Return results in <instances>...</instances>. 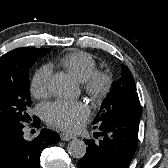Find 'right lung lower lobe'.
Masks as SVG:
<instances>
[{
    "label": "right lung lower lobe",
    "instance_id": "98d812e1",
    "mask_svg": "<svg viewBox=\"0 0 168 168\" xmlns=\"http://www.w3.org/2000/svg\"><path fill=\"white\" fill-rule=\"evenodd\" d=\"M40 119L35 117L33 126L39 127ZM21 123L0 127V168H39L43 149L59 142V135L42 129L39 136L32 141L23 137Z\"/></svg>",
    "mask_w": 168,
    "mask_h": 168
}]
</instances>
